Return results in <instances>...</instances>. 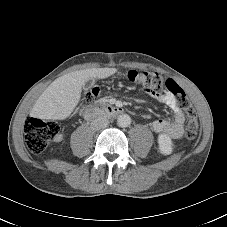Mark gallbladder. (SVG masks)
Segmentation results:
<instances>
[{
	"instance_id": "1",
	"label": "gallbladder",
	"mask_w": 227,
	"mask_h": 227,
	"mask_svg": "<svg viewBox=\"0 0 227 227\" xmlns=\"http://www.w3.org/2000/svg\"><path fill=\"white\" fill-rule=\"evenodd\" d=\"M94 85V79H89L83 85L84 90H89Z\"/></svg>"
}]
</instances>
